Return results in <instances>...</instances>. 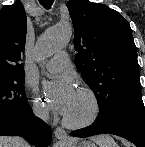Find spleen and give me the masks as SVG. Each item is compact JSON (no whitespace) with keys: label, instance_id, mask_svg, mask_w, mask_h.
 Segmentation results:
<instances>
[{"label":"spleen","instance_id":"obj_1","mask_svg":"<svg viewBox=\"0 0 145 147\" xmlns=\"http://www.w3.org/2000/svg\"><path fill=\"white\" fill-rule=\"evenodd\" d=\"M95 141L99 147H118L116 142L110 136H100L95 138Z\"/></svg>","mask_w":145,"mask_h":147}]
</instances>
